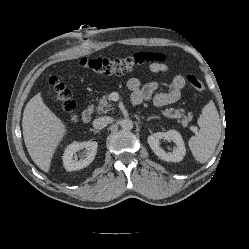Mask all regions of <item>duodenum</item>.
<instances>
[{
    "label": "duodenum",
    "mask_w": 249,
    "mask_h": 249,
    "mask_svg": "<svg viewBox=\"0 0 249 249\" xmlns=\"http://www.w3.org/2000/svg\"><path fill=\"white\" fill-rule=\"evenodd\" d=\"M93 116V110L91 108H87L82 113V121L84 123H89Z\"/></svg>",
    "instance_id": "1"
}]
</instances>
